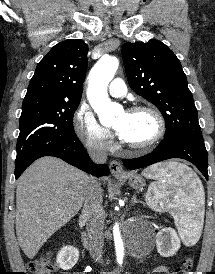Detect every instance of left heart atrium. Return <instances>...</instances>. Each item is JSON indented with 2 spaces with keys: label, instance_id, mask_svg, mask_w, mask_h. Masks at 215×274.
I'll list each match as a JSON object with an SVG mask.
<instances>
[{
  "label": "left heart atrium",
  "instance_id": "39dd6f15",
  "mask_svg": "<svg viewBox=\"0 0 215 274\" xmlns=\"http://www.w3.org/2000/svg\"><path fill=\"white\" fill-rule=\"evenodd\" d=\"M116 132H117V135H118L121 139H123V129H122V127H117V128H116Z\"/></svg>",
  "mask_w": 215,
  "mask_h": 274
}]
</instances>
